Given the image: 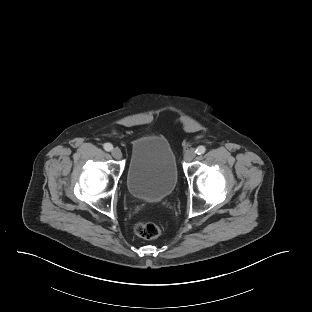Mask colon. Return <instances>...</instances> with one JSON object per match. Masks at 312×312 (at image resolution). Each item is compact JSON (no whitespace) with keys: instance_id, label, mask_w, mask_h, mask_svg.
Returning a JSON list of instances; mask_svg holds the SVG:
<instances>
[{"instance_id":"colon-1","label":"colon","mask_w":312,"mask_h":312,"mask_svg":"<svg viewBox=\"0 0 312 312\" xmlns=\"http://www.w3.org/2000/svg\"><path fill=\"white\" fill-rule=\"evenodd\" d=\"M135 234L143 239H155L162 233V227L153 222H138L134 226Z\"/></svg>"}]
</instances>
